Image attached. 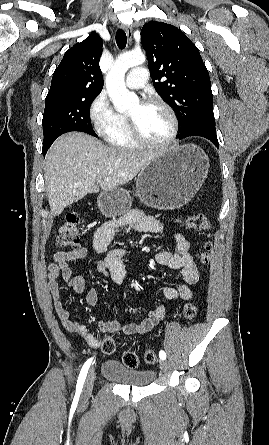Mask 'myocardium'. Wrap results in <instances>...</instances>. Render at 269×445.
I'll return each mask as SVG.
<instances>
[{
	"mask_svg": "<svg viewBox=\"0 0 269 445\" xmlns=\"http://www.w3.org/2000/svg\"><path fill=\"white\" fill-rule=\"evenodd\" d=\"M140 104L142 105L156 104L164 108L171 119L172 128L169 136L165 140L161 142H151L142 135L136 118L129 114L127 116V119L132 137L134 138V140L137 142L138 145L144 146L146 148L156 149V150H162L167 148L175 141L179 132V120L174 109L165 100L156 96L147 97L143 99L140 102Z\"/></svg>",
	"mask_w": 269,
	"mask_h": 445,
	"instance_id": "1",
	"label": "myocardium"
}]
</instances>
